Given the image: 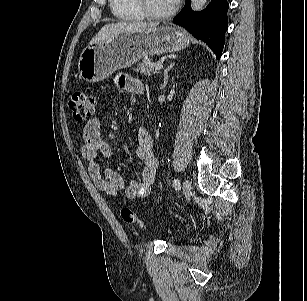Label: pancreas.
Masks as SVG:
<instances>
[{"label": "pancreas", "instance_id": "1", "mask_svg": "<svg viewBox=\"0 0 307 301\" xmlns=\"http://www.w3.org/2000/svg\"><path fill=\"white\" fill-rule=\"evenodd\" d=\"M155 64L151 62L147 57L144 58V61L142 63H139L136 68H134L135 71L140 72L143 75L151 76L152 74H155L154 71Z\"/></svg>", "mask_w": 307, "mask_h": 301}]
</instances>
